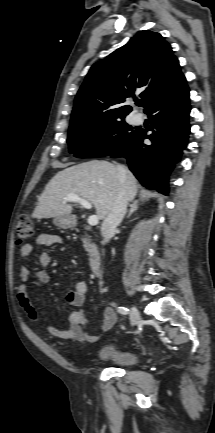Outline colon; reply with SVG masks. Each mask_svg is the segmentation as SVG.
Segmentation results:
<instances>
[{
    "instance_id": "colon-1",
    "label": "colon",
    "mask_w": 215,
    "mask_h": 433,
    "mask_svg": "<svg viewBox=\"0 0 215 433\" xmlns=\"http://www.w3.org/2000/svg\"><path fill=\"white\" fill-rule=\"evenodd\" d=\"M15 232L18 243L30 238L34 233L32 219L27 214H20L15 220Z\"/></svg>"
}]
</instances>
